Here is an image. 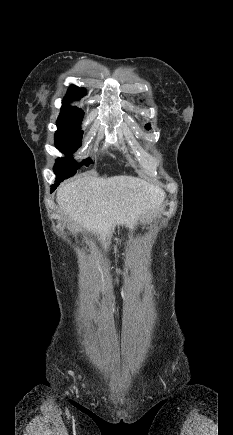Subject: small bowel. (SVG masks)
<instances>
[{
	"label": "small bowel",
	"mask_w": 233,
	"mask_h": 435,
	"mask_svg": "<svg viewBox=\"0 0 233 435\" xmlns=\"http://www.w3.org/2000/svg\"><path fill=\"white\" fill-rule=\"evenodd\" d=\"M108 293L111 295V296H114L115 294H116V287L114 286V285H109L108 286Z\"/></svg>",
	"instance_id": "c3829d8e"
}]
</instances>
